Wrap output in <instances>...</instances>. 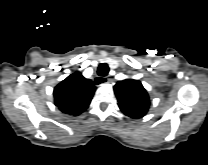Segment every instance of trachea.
Here are the masks:
<instances>
[{
    "mask_svg": "<svg viewBox=\"0 0 208 165\" xmlns=\"http://www.w3.org/2000/svg\"><path fill=\"white\" fill-rule=\"evenodd\" d=\"M108 72H109V67H108V65L106 64V63H101L100 65H99V67H98V71H97V73H98V75L99 76H106L107 74H108ZM99 79H97V84H99L100 82L98 81Z\"/></svg>",
    "mask_w": 208,
    "mask_h": 165,
    "instance_id": "3493384b",
    "label": "trachea"
}]
</instances>
